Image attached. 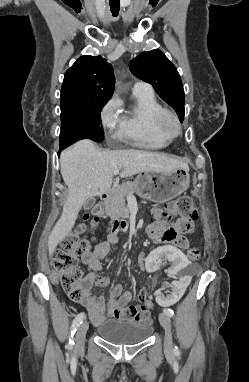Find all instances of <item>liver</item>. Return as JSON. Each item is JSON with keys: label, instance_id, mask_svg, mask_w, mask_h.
<instances>
[{"label": "liver", "instance_id": "6515ba94", "mask_svg": "<svg viewBox=\"0 0 249 382\" xmlns=\"http://www.w3.org/2000/svg\"><path fill=\"white\" fill-rule=\"evenodd\" d=\"M60 168L68 186V197L48 238L50 255L74 227L82 205L110 190L115 170H121L120 177L126 178L145 171L189 169L186 162L161 153L136 149L104 151L89 139L78 141L72 148L64 150L60 156Z\"/></svg>", "mask_w": 249, "mask_h": 382}]
</instances>
